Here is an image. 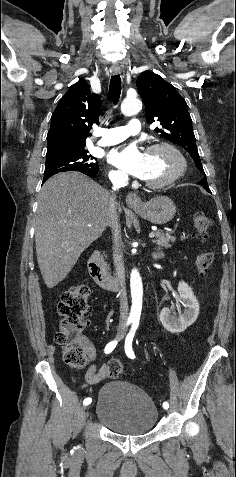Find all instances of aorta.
<instances>
[{
  "label": "aorta",
  "instance_id": "obj_1",
  "mask_svg": "<svg viewBox=\"0 0 236 477\" xmlns=\"http://www.w3.org/2000/svg\"><path fill=\"white\" fill-rule=\"evenodd\" d=\"M141 108L142 103L137 98H125L121 104V112L126 116L137 114ZM130 287L132 298L130 318L132 320H139L142 311L143 285L141 276L136 269H133L131 272Z\"/></svg>",
  "mask_w": 236,
  "mask_h": 477
}]
</instances>
